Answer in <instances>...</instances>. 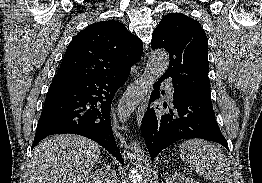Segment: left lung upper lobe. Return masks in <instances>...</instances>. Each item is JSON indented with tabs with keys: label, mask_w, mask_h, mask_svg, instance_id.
Masks as SVG:
<instances>
[{
	"label": "left lung upper lobe",
	"mask_w": 262,
	"mask_h": 183,
	"mask_svg": "<svg viewBox=\"0 0 262 183\" xmlns=\"http://www.w3.org/2000/svg\"><path fill=\"white\" fill-rule=\"evenodd\" d=\"M152 49L169 53L164 73L190 93L211 96L206 34L199 22L182 13L165 15L152 34Z\"/></svg>",
	"instance_id": "1"
}]
</instances>
